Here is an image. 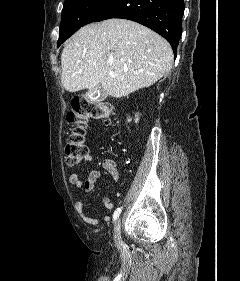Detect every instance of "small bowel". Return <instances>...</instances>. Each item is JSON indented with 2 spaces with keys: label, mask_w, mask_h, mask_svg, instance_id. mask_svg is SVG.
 <instances>
[{
  "label": "small bowel",
  "mask_w": 240,
  "mask_h": 281,
  "mask_svg": "<svg viewBox=\"0 0 240 281\" xmlns=\"http://www.w3.org/2000/svg\"><path fill=\"white\" fill-rule=\"evenodd\" d=\"M93 159H94L93 155L88 153L84 161L92 162ZM102 167L112 177L114 182L119 181L120 175L117 170L116 161L114 159L112 158L105 159L102 162ZM100 178H101V172L99 170H90L85 180L81 178V175L79 173L77 172L72 173L69 177V182L77 188H83L86 192H91L93 191L96 183L100 180ZM102 202L106 209L112 210L114 208V203L111 201V199L108 196H104L102 198ZM75 209L84 222L92 226L98 225L97 218H93L86 215L84 210V203L82 201H77L75 203ZM104 220L109 221L110 217L104 216Z\"/></svg>",
  "instance_id": "c3829d8e"
}]
</instances>
